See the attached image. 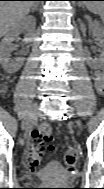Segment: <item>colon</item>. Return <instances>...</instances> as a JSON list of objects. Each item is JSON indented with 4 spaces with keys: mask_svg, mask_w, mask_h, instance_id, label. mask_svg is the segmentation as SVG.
I'll list each match as a JSON object with an SVG mask.
<instances>
[{
    "mask_svg": "<svg viewBox=\"0 0 104 189\" xmlns=\"http://www.w3.org/2000/svg\"><path fill=\"white\" fill-rule=\"evenodd\" d=\"M33 142L27 150L26 164L30 170L40 167L45 150L52 149L53 131L49 124L39 125L32 133ZM79 160V151L75 146H70L64 157L68 168L74 167Z\"/></svg>",
    "mask_w": 104,
    "mask_h": 189,
    "instance_id": "5ec220e1",
    "label": "colon"
}]
</instances>
